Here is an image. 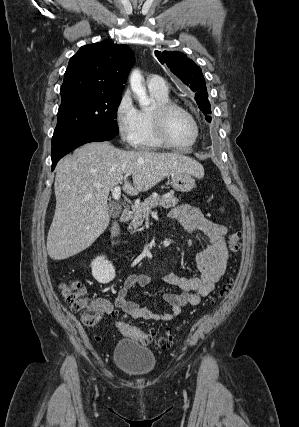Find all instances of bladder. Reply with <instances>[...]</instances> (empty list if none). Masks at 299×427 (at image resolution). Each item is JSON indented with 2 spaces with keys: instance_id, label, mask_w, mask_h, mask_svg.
<instances>
[{
  "instance_id": "1",
  "label": "bladder",
  "mask_w": 299,
  "mask_h": 427,
  "mask_svg": "<svg viewBox=\"0 0 299 427\" xmlns=\"http://www.w3.org/2000/svg\"><path fill=\"white\" fill-rule=\"evenodd\" d=\"M114 360L117 368L131 377H145L156 366L154 353L138 342L120 339L114 348Z\"/></svg>"
}]
</instances>
